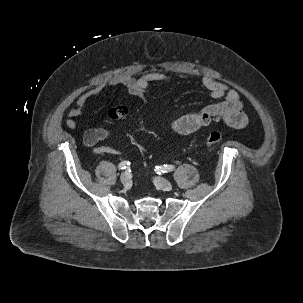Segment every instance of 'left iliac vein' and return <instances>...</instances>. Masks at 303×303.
Listing matches in <instances>:
<instances>
[{
    "instance_id": "4c4485c4",
    "label": "left iliac vein",
    "mask_w": 303,
    "mask_h": 303,
    "mask_svg": "<svg viewBox=\"0 0 303 303\" xmlns=\"http://www.w3.org/2000/svg\"><path fill=\"white\" fill-rule=\"evenodd\" d=\"M154 184L161 190L171 191L172 183L165 178L157 177L154 179Z\"/></svg>"
}]
</instances>
